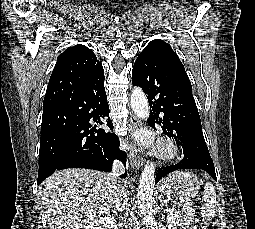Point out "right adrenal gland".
<instances>
[{
    "mask_svg": "<svg viewBox=\"0 0 255 229\" xmlns=\"http://www.w3.org/2000/svg\"><path fill=\"white\" fill-rule=\"evenodd\" d=\"M111 212L114 214V215H117L119 213L118 210H111Z\"/></svg>",
    "mask_w": 255,
    "mask_h": 229,
    "instance_id": "right-adrenal-gland-1",
    "label": "right adrenal gland"
}]
</instances>
